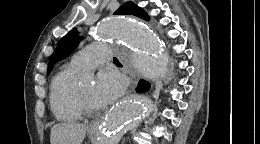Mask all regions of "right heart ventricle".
I'll list each match as a JSON object with an SVG mask.
<instances>
[{"label": "right heart ventricle", "mask_w": 260, "mask_h": 144, "mask_svg": "<svg viewBox=\"0 0 260 144\" xmlns=\"http://www.w3.org/2000/svg\"><path fill=\"white\" fill-rule=\"evenodd\" d=\"M82 71L70 62L63 65L51 81L50 105L60 121H77L82 116L77 104L78 76Z\"/></svg>", "instance_id": "e07e8e85"}]
</instances>
